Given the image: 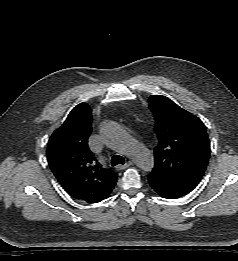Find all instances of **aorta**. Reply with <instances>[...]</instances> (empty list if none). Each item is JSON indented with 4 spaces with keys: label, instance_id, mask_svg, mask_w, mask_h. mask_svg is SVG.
Listing matches in <instances>:
<instances>
[{
    "label": "aorta",
    "instance_id": "762f6f07",
    "mask_svg": "<svg viewBox=\"0 0 238 261\" xmlns=\"http://www.w3.org/2000/svg\"><path fill=\"white\" fill-rule=\"evenodd\" d=\"M104 135L106 139L122 154L130 157L135 164L146 172L154 167V157L141 143L133 140L116 123L108 122L105 125Z\"/></svg>",
    "mask_w": 238,
    "mask_h": 261
}]
</instances>
